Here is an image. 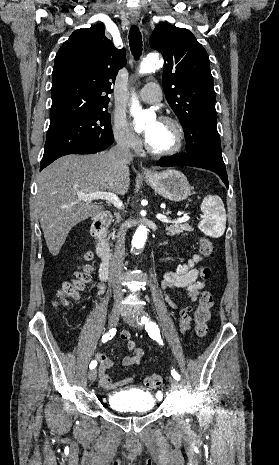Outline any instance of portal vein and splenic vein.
I'll return each mask as SVG.
<instances>
[{
    "label": "portal vein and splenic vein",
    "instance_id": "1",
    "mask_svg": "<svg viewBox=\"0 0 279 465\" xmlns=\"http://www.w3.org/2000/svg\"><path fill=\"white\" fill-rule=\"evenodd\" d=\"M80 197L84 200H106L110 203H112L116 208L122 209L123 208V203L122 201L118 198V196L114 193L111 192H93V193H88V194H80ZM157 219H159L162 222L168 223L171 222L168 220V218L163 215V214H157L156 215ZM190 219L188 215H184L183 217H180L176 220L173 221V223H184L187 222Z\"/></svg>",
    "mask_w": 279,
    "mask_h": 465
}]
</instances>
